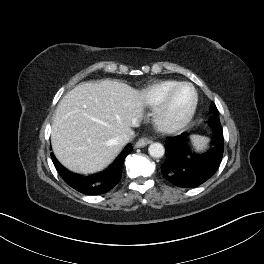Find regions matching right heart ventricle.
<instances>
[{"label": "right heart ventricle", "instance_id": "e07e8e85", "mask_svg": "<svg viewBox=\"0 0 264 264\" xmlns=\"http://www.w3.org/2000/svg\"><path fill=\"white\" fill-rule=\"evenodd\" d=\"M178 81L163 80L156 82L142 91V100L149 108H156L165 98L166 94L173 88Z\"/></svg>", "mask_w": 264, "mask_h": 264}]
</instances>
